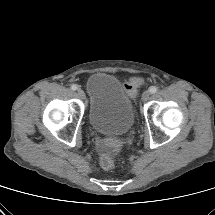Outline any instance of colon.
Wrapping results in <instances>:
<instances>
[{
	"instance_id": "obj_1",
	"label": "colon",
	"mask_w": 215,
	"mask_h": 215,
	"mask_svg": "<svg viewBox=\"0 0 215 215\" xmlns=\"http://www.w3.org/2000/svg\"><path fill=\"white\" fill-rule=\"evenodd\" d=\"M140 84L141 81L138 78H132L124 84V88L129 96L134 97ZM105 144L109 151L101 155L100 165L103 169L110 170L115 166V156L121 148V141L118 138L111 137L106 140Z\"/></svg>"
}]
</instances>
